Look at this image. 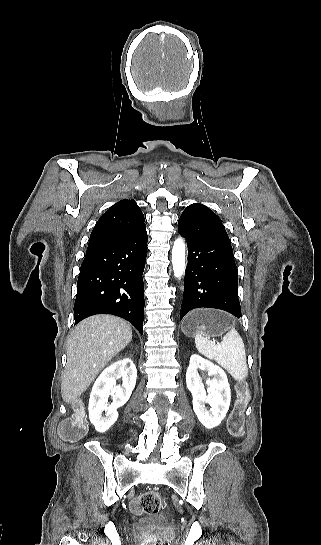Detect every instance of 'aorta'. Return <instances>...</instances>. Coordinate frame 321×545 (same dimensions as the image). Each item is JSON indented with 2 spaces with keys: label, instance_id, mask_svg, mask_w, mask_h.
<instances>
[{
  "label": "aorta",
  "instance_id": "762f6f07",
  "mask_svg": "<svg viewBox=\"0 0 321 545\" xmlns=\"http://www.w3.org/2000/svg\"><path fill=\"white\" fill-rule=\"evenodd\" d=\"M172 266L175 277L180 279L184 275L186 266V245L182 238H177L174 241L172 248Z\"/></svg>",
  "mask_w": 321,
  "mask_h": 545
}]
</instances>
